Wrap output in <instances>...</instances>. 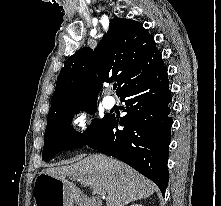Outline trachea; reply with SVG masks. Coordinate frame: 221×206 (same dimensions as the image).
<instances>
[{"label": "trachea", "mask_w": 221, "mask_h": 206, "mask_svg": "<svg viewBox=\"0 0 221 206\" xmlns=\"http://www.w3.org/2000/svg\"><path fill=\"white\" fill-rule=\"evenodd\" d=\"M117 88V85L116 84H114L113 85V90H115Z\"/></svg>", "instance_id": "trachea-1"}]
</instances>
